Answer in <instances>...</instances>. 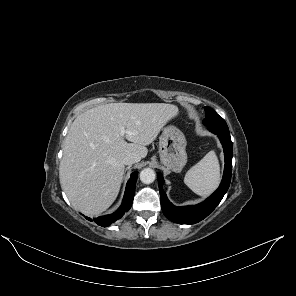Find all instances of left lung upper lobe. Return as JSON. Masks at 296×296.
Here are the masks:
<instances>
[{
  "instance_id": "obj_1",
  "label": "left lung upper lobe",
  "mask_w": 296,
  "mask_h": 296,
  "mask_svg": "<svg viewBox=\"0 0 296 296\" xmlns=\"http://www.w3.org/2000/svg\"><path fill=\"white\" fill-rule=\"evenodd\" d=\"M206 118L203 123L207 126H227L226 122L212 108L205 107Z\"/></svg>"
}]
</instances>
